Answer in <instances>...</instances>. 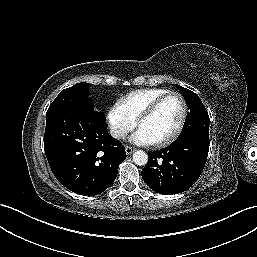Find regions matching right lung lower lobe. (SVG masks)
I'll return each instance as SVG.
<instances>
[{
    "label": "right lung lower lobe",
    "instance_id": "98d812e1",
    "mask_svg": "<svg viewBox=\"0 0 257 257\" xmlns=\"http://www.w3.org/2000/svg\"><path fill=\"white\" fill-rule=\"evenodd\" d=\"M44 150L57 180L82 195H97L116 179L126 152L94 112L65 107L46 114Z\"/></svg>",
    "mask_w": 257,
    "mask_h": 257
}]
</instances>
